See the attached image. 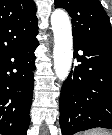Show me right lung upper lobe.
<instances>
[{
	"mask_svg": "<svg viewBox=\"0 0 112 135\" xmlns=\"http://www.w3.org/2000/svg\"><path fill=\"white\" fill-rule=\"evenodd\" d=\"M33 0H0V55L38 33Z\"/></svg>",
	"mask_w": 112,
	"mask_h": 135,
	"instance_id": "cb5924a9",
	"label": "right lung upper lobe"
}]
</instances>
